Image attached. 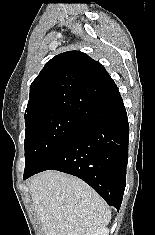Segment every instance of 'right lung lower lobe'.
Instances as JSON below:
<instances>
[{
  "instance_id": "obj_1",
  "label": "right lung lower lobe",
  "mask_w": 155,
  "mask_h": 235,
  "mask_svg": "<svg viewBox=\"0 0 155 235\" xmlns=\"http://www.w3.org/2000/svg\"><path fill=\"white\" fill-rule=\"evenodd\" d=\"M85 96L98 117L71 136L38 169L58 170L84 180L111 206L119 210L126 186L129 124L122 97L113 80L96 84Z\"/></svg>"
}]
</instances>
